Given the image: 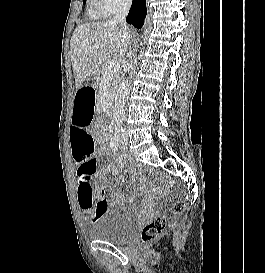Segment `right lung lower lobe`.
Returning <instances> with one entry per match:
<instances>
[{
	"mask_svg": "<svg viewBox=\"0 0 265 273\" xmlns=\"http://www.w3.org/2000/svg\"><path fill=\"white\" fill-rule=\"evenodd\" d=\"M146 14V0H133L126 21L134 27L141 28Z\"/></svg>",
	"mask_w": 265,
	"mask_h": 273,
	"instance_id": "obj_1",
	"label": "right lung lower lobe"
}]
</instances>
